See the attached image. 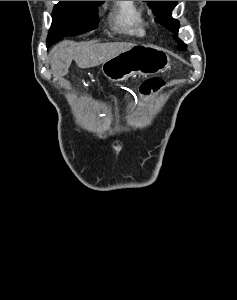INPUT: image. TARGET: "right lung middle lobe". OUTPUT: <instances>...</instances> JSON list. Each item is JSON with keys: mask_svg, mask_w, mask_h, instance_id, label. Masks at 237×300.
<instances>
[{"mask_svg": "<svg viewBox=\"0 0 237 300\" xmlns=\"http://www.w3.org/2000/svg\"><path fill=\"white\" fill-rule=\"evenodd\" d=\"M104 1H59L52 13V25L47 37V47L65 36H76L96 28L97 5Z\"/></svg>", "mask_w": 237, "mask_h": 300, "instance_id": "dd1d6c3e", "label": "right lung middle lobe"}]
</instances>
